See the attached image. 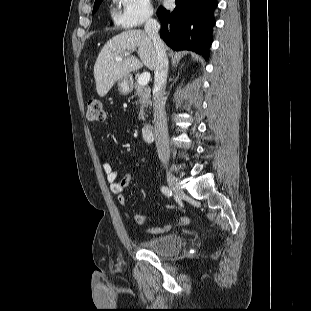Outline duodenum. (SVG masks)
I'll return each mask as SVG.
<instances>
[{
  "label": "duodenum",
  "mask_w": 311,
  "mask_h": 311,
  "mask_svg": "<svg viewBox=\"0 0 311 311\" xmlns=\"http://www.w3.org/2000/svg\"><path fill=\"white\" fill-rule=\"evenodd\" d=\"M153 129L150 124H146L142 128V136L146 142H150L152 140Z\"/></svg>",
  "instance_id": "obj_1"
}]
</instances>
